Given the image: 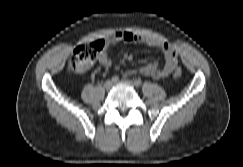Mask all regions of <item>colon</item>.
<instances>
[{
  "instance_id": "5ec220e1",
  "label": "colon",
  "mask_w": 243,
  "mask_h": 167,
  "mask_svg": "<svg viewBox=\"0 0 243 167\" xmlns=\"http://www.w3.org/2000/svg\"><path fill=\"white\" fill-rule=\"evenodd\" d=\"M104 48V42L101 40L92 41L77 47L71 55L69 70L72 73L79 74L85 72L94 62L97 54ZM182 75L180 68L174 71V77L179 78Z\"/></svg>"
}]
</instances>
